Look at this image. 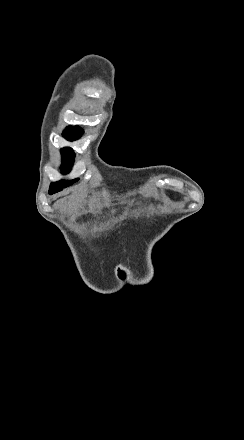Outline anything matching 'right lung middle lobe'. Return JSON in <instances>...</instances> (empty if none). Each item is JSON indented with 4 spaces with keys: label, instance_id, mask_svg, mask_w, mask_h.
<instances>
[{
    "label": "right lung middle lobe",
    "instance_id": "right-lung-middle-lobe-1",
    "mask_svg": "<svg viewBox=\"0 0 244 440\" xmlns=\"http://www.w3.org/2000/svg\"><path fill=\"white\" fill-rule=\"evenodd\" d=\"M82 134H83V130L80 127H78V126H76V127H68L63 132L64 137L67 140H69V141L76 140L77 138L82 136ZM61 153H62L61 171H62L63 174H67V173L70 172L71 167L73 166L75 154H74L73 150L71 148H68V147L63 148L61 150ZM76 181H78V178L74 179V180H71V181L61 180L59 182L51 183L50 186L65 188V187L73 184Z\"/></svg>",
    "mask_w": 244,
    "mask_h": 440
}]
</instances>
